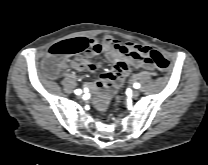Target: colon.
<instances>
[{
	"label": "colon",
	"mask_w": 208,
	"mask_h": 165,
	"mask_svg": "<svg viewBox=\"0 0 208 165\" xmlns=\"http://www.w3.org/2000/svg\"><path fill=\"white\" fill-rule=\"evenodd\" d=\"M89 44L84 38H74L53 45L49 54L43 61V71L49 78H55L60 71V60L64 57L77 55L85 52ZM144 59L159 70L165 71L169 68V60L160 52L149 47L143 48Z\"/></svg>",
	"instance_id": "colon-1"
}]
</instances>
